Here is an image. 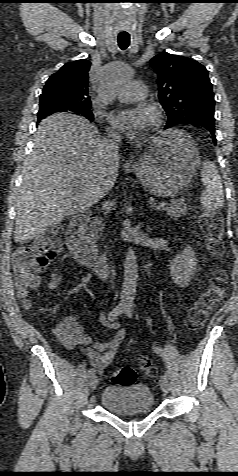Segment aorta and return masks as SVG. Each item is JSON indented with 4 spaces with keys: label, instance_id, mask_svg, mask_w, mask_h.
<instances>
[{
    "label": "aorta",
    "instance_id": "obj_1",
    "mask_svg": "<svg viewBox=\"0 0 238 476\" xmlns=\"http://www.w3.org/2000/svg\"><path fill=\"white\" fill-rule=\"evenodd\" d=\"M132 74L128 66L112 67L106 74L103 86V96L105 99H112L120 85L124 84ZM138 278V263L135 252L129 247L124 261V282L121 292V305L131 307L136 294Z\"/></svg>",
    "mask_w": 238,
    "mask_h": 476
}]
</instances>
